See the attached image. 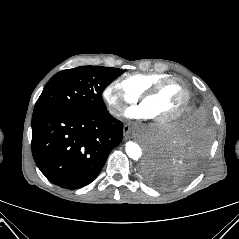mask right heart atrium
<instances>
[{"mask_svg":"<svg viewBox=\"0 0 239 239\" xmlns=\"http://www.w3.org/2000/svg\"><path fill=\"white\" fill-rule=\"evenodd\" d=\"M103 98L107 104L109 112L118 117L122 114L128 104L135 103L139 96L127 89L122 82L112 81L103 90Z\"/></svg>","mask_w":239,"mask_h":239,"instance_id":"1","label":"right heart atrium"}]
</instances>
